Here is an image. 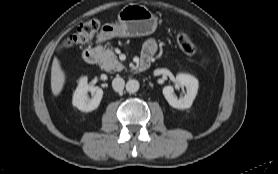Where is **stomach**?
<instances>
[{
	"label": "stomach",
	"instance_id": "1",
	"mask_svg": "<svg viewBox=\"0 0 278 174\" xmlns=\"http://www.w3.org/2000/svg\"><path fill=\"white\" fill-rule=\"evenodd\" d=\"M157 28L156 16L145 6L131 3L123 7L118 14L117 24H105L100 38L138 37L152 34Z\"/></svg>",
	"mask_w": 278,
	"mask_h": 174
}]
</instances>
